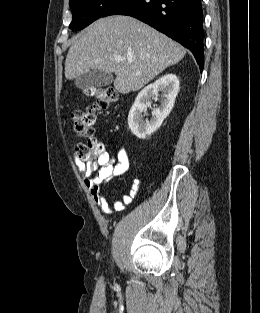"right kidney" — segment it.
<instances>
[{
	"mask_svg": "<svg viewBox=\"0 0 260 313\" xmlns=\"http://www.w3.org/2000/svg\"><path fill=\"white\" fill-rule=\"evenodd\" d=\"M162 92L161 105L152 112V118L144 121L142 112L151 106V99ZM179 91V80L175 74L168 73L153 84L145 87L136 97L128 115V125L132 133L139 139H145L154 133L171 112Z\"/></svg>",
	"mask_w": 260,
	"mask_h": 313,
	"instance_id": "obj_1",
	"label": "right kidney"
}]
</instances>
